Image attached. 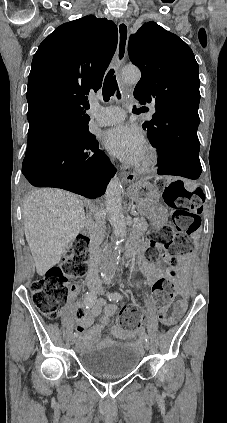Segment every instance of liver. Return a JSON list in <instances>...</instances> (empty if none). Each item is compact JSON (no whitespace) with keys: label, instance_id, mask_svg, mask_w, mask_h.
Masks as SVG:
<instances>
[{"label":"liver","instance_id":"obj_1","mask_svg":"<svg viewBox=\"0 0 227 423\" xmlns=\"http://www.w3.org/2000/svg\"><path fill=\"white\" fill-rule=\"evenodd\" d=\"M82 198L57 188L33 190L23 202L25 237L38 275L59 263L82 229L90 231Z\"/></svg>","mask_w":227,"mask_h":423}]
</instances>
